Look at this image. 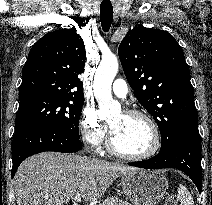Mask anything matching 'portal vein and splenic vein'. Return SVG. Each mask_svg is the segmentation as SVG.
Wrapping results in <instances>:
<instances>
[{
  "label": "portal vein and splenic vein",
  "instance_id": "portal-vein-and-splenic-vein-1",
  "mask_svg": "<svg viewBox=\"0 0 212 205\" xmlns=\"http://www.w3.org/2000/svg\"><path fill=\"white\" fill-rule=\"evenodd\" d=\"M74 200H75L76 202H80V201H81V196H80V194H77V195L75 196Z\"/></svg>",
  "mask_w": 212,
  "mask_h": 205
}]
</instances>
